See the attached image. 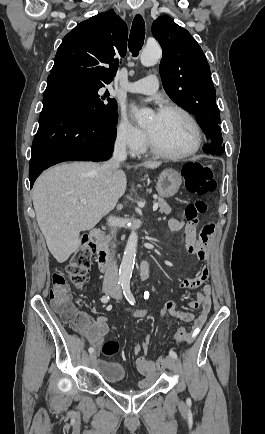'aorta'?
I'll use <instances>...</instances> for the list:
<instances>
[{"instance_id":"762f6f07","label":"aorta","mask_w":265,"mask_h":434,"mask_svg":"<svg viewBox=\"0 0 265 434\" xmlns=\"http://www.w3.org/2000/svg\"><path fill=\"white\" fill-rule=\"evenodd\" d=\"M161 54V48L146 46V48L141 52L140 62L142 66H146V68H148V66H155L159 58H161ZM134 116L139 126H146L149 116H151V112L150 110H138V112H135ZM132 226V232L128 238L119 270V282H130L135 264L138 244V236L135 232L138 228L137 220H133Z\"/></svg>"}]
</instances>
